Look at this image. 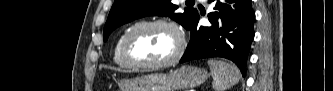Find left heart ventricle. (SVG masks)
I'll list each match as a JSON object with an SVG mask.
<instances>
[{"label": "left heart ventricle", "instance_id": "left-heart-ventricle-1", "mask_svg": "<svg viewBox=\"0 0 333 91\" xmlns=\"http://www.w3.org/2000/svg\"><path fill=\"white\" fill-rule=\"evenodd\" d=\"M178 39L174 32L162 26L148 27L137 32L131 41V54L139 61L155 63L169 59Z\"/></svg>", "mask_w": 333, "mask_h": 91}]
</instances>
